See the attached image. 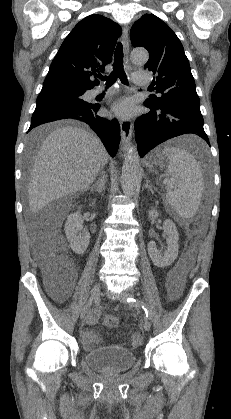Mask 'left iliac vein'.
Wrapping results in <instances>:
<instances>
[{"mask_svg": "<svg viewBox=\"0 0 231 419\" xmlns=\"http://www.w3.org/2000/svg\"><path fill=\"white\" fill-rule=\"evenodd\" d=\"M130 296V294L128 293V292H122L120 295H119V300L122 302V303H124V304H126L127 303V298ZM143 327H144V329L146 330V331H149L150 330V328H151V323H150V321L148 320V319H145V321H144V323H143Z\"/></svg>", "mask_w": 231, "mask_h": 419, "instance_id": "4c4485c4", "label": "left iliac vein"}]
</instances>
